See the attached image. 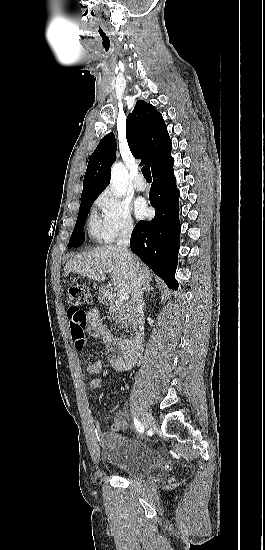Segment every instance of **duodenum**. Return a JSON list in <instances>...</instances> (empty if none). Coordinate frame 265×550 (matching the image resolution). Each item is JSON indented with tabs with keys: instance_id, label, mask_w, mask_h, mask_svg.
Listing matches in <instances>:
<instances>
[{
	"instance_id": "duodenum-1",
	"label": "duodenum",
	"mask_w": 265,
	"mask_h": 550,
	"mask_svg": "<svg viewBox=\"0 0 265 550\" xmlns=\"http://www.w3.org/2000/svg\"><path fill=\"white\" fill-rule=\"evenodd\" d=\"M101 296L103 298V300L107 301L110 299V296H109V293L107 291H103L101 293ZM129 345L131 346L132 349L138 351L142 345H143V340H142V335L140 332L136 333L131 339L127 340Z\"/></svg>"
}]
</instances>
